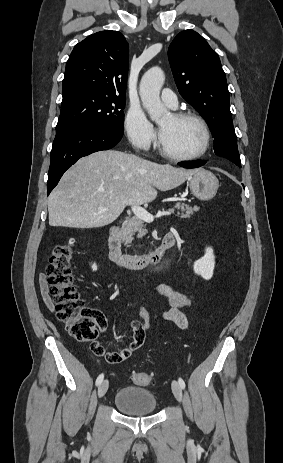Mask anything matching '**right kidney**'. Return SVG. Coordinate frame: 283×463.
<instances>
[{
	"label": "right kidney",
	"mask_w": 283,
	"mask_h": 463,
	"mask_svg": "<svg viewBox=\"0 0 283 463\" xmlns=\"http://www.w3.org/2000/svg\"><path fill=\"white\" fill-rule=\"evenodd\" d=\"M92 270H93V271H96V270H97V265H96V263L92 264Z\"/></svg>",
	"instance_id": "obj_1"
}]
</instances>
